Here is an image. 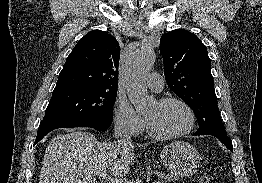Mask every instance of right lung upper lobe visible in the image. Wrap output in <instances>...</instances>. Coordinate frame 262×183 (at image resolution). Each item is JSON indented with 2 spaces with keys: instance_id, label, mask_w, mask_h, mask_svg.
I'll return each mask as SVG.
<instances>
[{
  "instance_id": "1",
  "label": "right lung upper lobe",
  "mask_w": 262,
  "mask_h": 183,
  "mask_svg": "<svg viewBox=\"0 0 262 183\" xmlns=\"http://www.w3.org/2000/svg\"><path fill=\"white\" fill-rule=\"evenodd\" d=\"M120 46L108 33L94 30L69 54L53 92L103 88L117 90Z\"/></svg>"
}]
</instances>
